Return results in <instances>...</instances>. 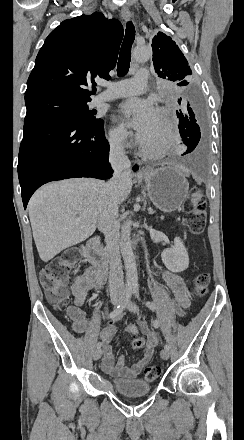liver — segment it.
I'll use <instances>...</instances> for the list:
<instances>
[{
    "instance_id": "1",
    "label": "liver",
    "mask_w": 244,
    "mask_h": 440,
    "mask_svg": "<svg viewBox=\"0 0 244 440\" xmlns=\"http://www.w3.org/2000/svg\"><path fill=\"white\" fill-rule=\"evenodd\" d=\"M104 182L92 178H72L50 182L33 194L29 218L34 242L43 262L76 246L94 234L104 196ZM132 190L131 176L121 180L118 202H124Z\"/></svg>"
}]
</instances>
